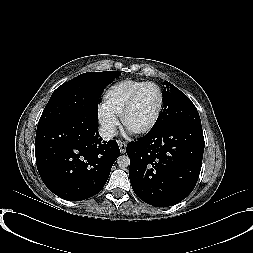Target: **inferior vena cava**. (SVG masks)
I'll return each instance as SVG.
<instances>
[{"label": "inferior vena cava", "instance_id": "1", "mask_svg": "<svg viewBox=\"0 0 253 253\" xmlns=\"http://www.w3.org/2000/svg\"><path fill=\"white\" fill-rule=\"evenodd\" d=\"M99 134H100V137L103 140L109 141L113 137H115V135H116V128L114 126H112V125H110V126H101L99 128Z\"/></svg>", "mask_w": 253, "mask_h": 253}]
</instances>
